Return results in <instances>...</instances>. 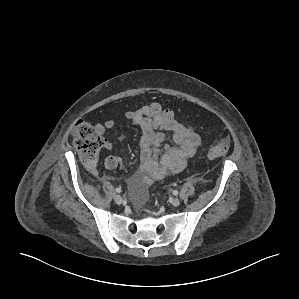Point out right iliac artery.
Masks as SVG:
<instances>
[{
	"label": "right iliac artery",
	"instance_id": "right-iliac-artery-1",
	"mask_svg": "<svg viewBox=\"0 0 299 299\" xmlns=\"http://www.w3.org/2000/svg\"><path fill=\"white\" fill-rule=\"evenodd\" d=\"M115 191L120 193L122 190H121V188H116Z\"/></svg>",
	"mask_w": 299,
	"mask_h": 299
}]
</instances>
